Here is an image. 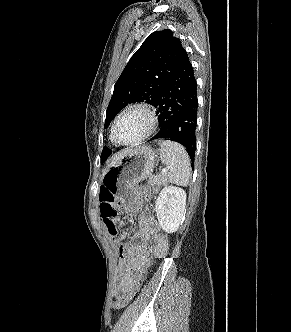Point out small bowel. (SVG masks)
Returning <instances> with one entry per match:
<instances>
[{
  "mask_svg": "<svg viewBox=\"0 0 291 332\" xmlns=\"http://www.w3.org/2000/svg\"><path fill=\"white\" fill-rule=\"evenodd\" d=\"M124 236L128 230H123ZM153 242V247L149 245ZM168 250V243L160 234V227L157 220L150 213H142L139 217L138 229L131 237V240L121 245L119 249L120 281L116 289V295L127 291L145 269L149 266L152 255L163 257Z\"/></svg>",
  "mask_w": 291,
  "mask_h": 332,
  "instance_id": "c3829d8e",
  "label": "small bowel"
}]
</instances>
